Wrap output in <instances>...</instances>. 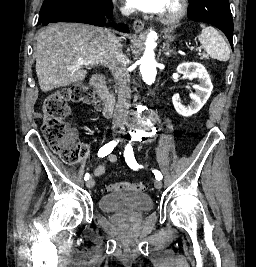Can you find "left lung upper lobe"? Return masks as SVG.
I'll list each match as a JSON object with an SVG mask.
<instances>
[{
  "label": "left lung upper lobe",
  "mask_w": 256,
  "mask_h": 267,
  "mask_svg": "<svg viewBox=\"0 0 256 267\" xmlns=\"http://www.w3.org/2000/svg\"><path fill=\"white\" fill-rule=\"evenodd\" d=\"M189 17L219 28L233 48V20L229 0H190Z\"/></svg>",
  "instance_id": "obj_1"
}]
</instances>
